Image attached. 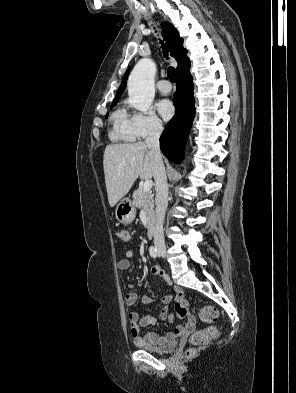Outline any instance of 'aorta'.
I'll return each instance as SVG.
<instances>
[{
	"label": "aorta",
	"instance_id": "762f6f07",
	"mask_svg": "<svg viewBox=\"0 0 296 393\" xmlns=\"http://www.w3.org/2000/svg\"><path fill=\"white\" fill-rule=\"evenodd\" d=\"M155 63L147 58L141 59L128 78L130 103L137 110L147 113L155 96Z\"/></svg>",
	"mask_w": 296,
	"mask_h": 393
}]
</instances>
